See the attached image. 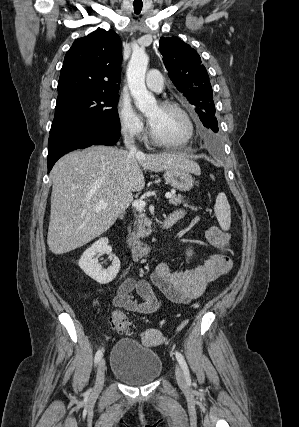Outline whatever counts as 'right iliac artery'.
Segmentation results:
<instances>
[{
    "label": "right iliac artery",
    "mask_w": 299,
    "mask_h": 427,
    "mask_svg": "<svg viewBox=\"0 0 299 427\" xmlns=\"http://www.w3.org/2000/svg\"><path fill=\"white\" fill-rule=\"evenodd\" d=\"M101 358H102V351L98 350L96 355H95V359H94L95 365L98 364V362L101 360Z\"/></svg>",
    "instance_id": "obj_1"
}]
</instances>
